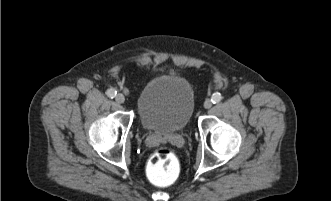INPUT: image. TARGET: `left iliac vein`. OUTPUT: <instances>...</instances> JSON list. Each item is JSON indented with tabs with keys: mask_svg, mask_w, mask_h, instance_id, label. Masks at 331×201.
Returning <instances> with one entry per match:
<instances>
[{
	"mask_svg": "<svg viewBox=\"0 0 331 201\" xmlns=\"http://www.w3.org/2000/svg\"><path fill=\"white\" fill-rule=\"evenodd\" d=\"M212 107V101L210 99H206L204 102V108L209 109Z\"/></svg>",
	"mask_w": 331,
	"mask_h": 201,
	"instance_id": "1",
	"label": "left iliac vein"
}]
</instances>
